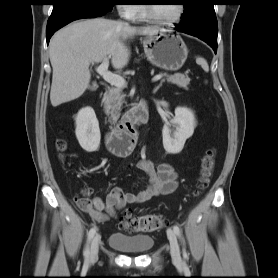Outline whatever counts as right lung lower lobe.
Listing matches in <instances>:
<instances>
[{
  "label": "right lung lower lobe",
  "mask_w": 278,
  "mask_h": 278,
  "mask_svg": "<svg viewBox=\"0 0 278 278\" xmlns=\"http://www.w3.org/2000/svg\"><path fill=\"white\" fill-rule=\"evenodd\" d=\"M107 12L81 5H69L60 8L49 17L46 28L47 43H49L51 36L66 24L77 19L100 17Z\"/></svg>",
  "instance_id": "98d812e1"
}]
</instances>
